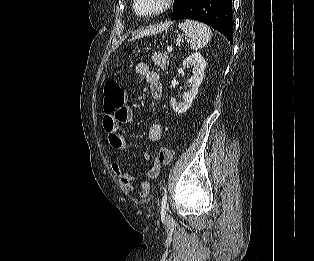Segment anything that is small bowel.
<instances>
[{"label": "small bowel", "instance_id": "small-bowel-1", "mask_svg": "<svg viewBox=\"0 0 314 261\" xmlns=\"http://www.w3.org/2000/svg\"><path fill=\"white\" fill-rule=\"evenodd\" d=\"M135 72L146 79L151 98L155 101L160 100L163 95V89L159 74L151 70L144 62H139L135 65ZM132 117V110L126 105H123L118 109H109L104 116L103 126L108 133V141L112 148L116 150H125L127 148L128 144L124 135L120 132V125L130 122ZM162 134V125L158 122L153 123L149 129L150 140L159 142L162 138ZM144 158L145 160H150L151 156L145 154ZM111 169L126 190L135 192L138 185L139 196L146 197L149 194L150 189L149 180L156 178L160 174L161 164L154 161L153 165L147 172L148 180L143 182H138L134 176L126 173L117 163L112 164Z\"/></svg>", "mask_w": 314, "mask_h": 261}]
</instances>
